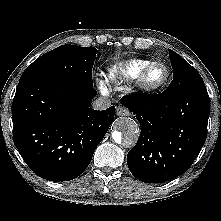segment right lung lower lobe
<instances>
[{
    "label": "right lung lower lobe",
    "instance_id": "98d812e1",
    "mask_svg": "<svg viewBox=\"0 0 221 221\" xmlns=\"http://www.w3.org/2000/svg\"><path fill=\"white\" fill-rule=\"evenodd\" d=\"M93 87L45 79L19 81L12 104L14 144L39 177L69 181L89 165L115 106L90 108Z\"/></svg>",
    "mask_w": 221,
    "mask_h": 221
}]
</instances>
